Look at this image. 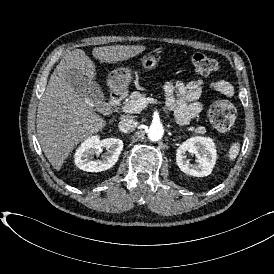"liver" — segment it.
<instances>
[{
	"label": "liver",
	"mask_w": 274,
	"mask_h": 274,
	"mask_svg": "<svg viewBox=\"0 0 274 274\" xmlns=\"http://www.w3.org/2000/svg\"><path fill=\"white\" fill-rule=\"evenodd\" d=\"M146 49L142 45L95 47L93 56L101 62L128 60ZM93 62L81 49L68 52L50 76L37 109L36 128L42 151L51 165L60 170L76 145L92 137L106 126L74 89L83 77L95 78Z\"/></svg>",
	"instance_id": "liver-1"
}]
</instances>
